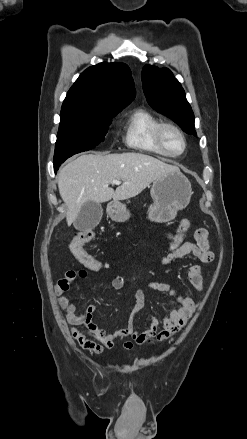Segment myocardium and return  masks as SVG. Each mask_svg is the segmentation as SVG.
<instances>
[{
    "instance_id": "obj_1",
    "label": "myocardium",
    "mask_w": 247,
    "mask_h": 439,
    "mask_svg": "<svg viewBox=\"0 0 247 439\" xmlns=\"http://www.w3.org/2000/svg\"><path fill=\"white\" fill-rule=\"evenodd\" d=\"M167 129H171V130L175 131L180 136L182 143H183V147H182V150L180 152L172 153L167 149V147L164 143V138H163L164 131ZM154 137H155V141H156L157 145L159 146V148L167 156L178 157L186 151V148H187L186 137H185L183 131L176 124H174L172 122H160L155 129Z\"/></svg>"
}]
</instances>
